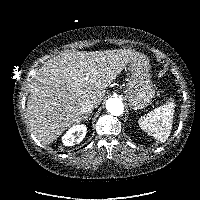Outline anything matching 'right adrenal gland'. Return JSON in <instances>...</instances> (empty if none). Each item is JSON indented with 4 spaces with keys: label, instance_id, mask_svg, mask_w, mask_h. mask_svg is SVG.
<instances>
[{
    "label": "right adrenal gland",
    "instance_id": "right-adrenal-gland-1",
    "mask_svg": "<svg viewBox=\"0 0 200 200\" xmlns=\"http://www.w3.org/2000/svg\"><path fill=\"white\" fill-rule=\"evenodd\" d=\"M90 115H91V113H88V114L84 115V116L82 117V120L88 121V120L90 119V118H89Z\"/></svg>",
    "mask_w": 200,
    "mask_h": 200
}]
</instances>
